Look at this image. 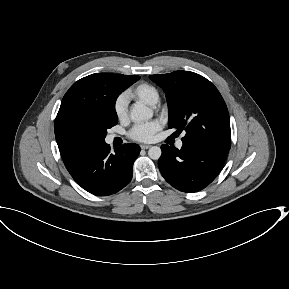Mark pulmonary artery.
<instances>
[{"instance_id":"obj_1","label":"pulmonary artery","mask_w":289,"mask_h":289,"mask_svg":"<svg viewBox=\"0 0 289 289\" xmlns=\"http://www.w3.org/2000/svg\"><path fill=\"white\" fill-rule=\"evenodd\" d=\"M114 137H115V135H110V136H109V140H113ZM176 146H177L178 148H181V147L183 146V141H182V140H179V141L177 142Z\"/></svg>"}]
</instances>
